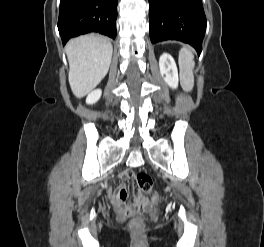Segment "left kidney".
I'll use <instances>...</instances> for the list:
<instances>
[{
  "mask_svg": "<svg viewBox=\"0 0 264 247\" xmlns=\"http://www.w3.org/2000/svg\"><path fill=\"white\" fill-rule=\"evenodd\" d=\"M160 73L164 77L166 84L172 89L178 87V70L171 55L163 53L159 59Z\"/></svg>",
  "mask_w": 264,
  "mask_h": 247,
  "instance_id": "1",
  "label": "left kidney"
}]
</instances>
